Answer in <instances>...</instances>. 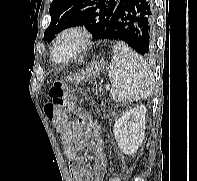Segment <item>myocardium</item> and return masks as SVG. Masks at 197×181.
Segmentation results:
<instances>
[{"mask_svg":"<svg viewBox=\"0 0 197 181\" xmlns=\"http://www.w3.org/2000/svg\"><path fill=\"white\" fill-rule=\"evenodd\" d=\"M68 35H75L78 37V45L74 52L66 59L58 60L56 58V47L60 40ZM92 43V34L91 32L85 27L81 25H73L69 26L65 29H63L55 38L53 45H52V51H51V57L52 59L59 64H65L73 61L78 56H80L82 53H84L91 45Z\"/></svg>","mask_w":197,"mask_h":181,"instance_id":"f54148a6","label":"myocardium"}]
</instances>
